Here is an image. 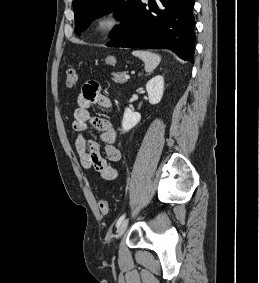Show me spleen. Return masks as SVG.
<instances>
[{
  "label": "spleen",
  "mask_w": 259,
  "mask_h": 283,
  "mask_svg": "<svg viewBox=\"0 0 259 283\" xmlns=\"http://www.w3.org/2000/svg\"><path fill=\"white\" fill-rule=\"evenodd\" d=\"M132 55L140 58L145 64V70L151 73L160 63L161 57L155 53L149 51L136 50L132 52Z\"/></svg>",
  "instance_id": "3e777b00"
}]
</instances>
